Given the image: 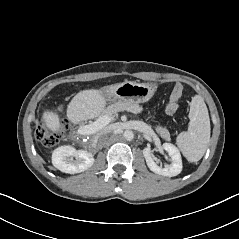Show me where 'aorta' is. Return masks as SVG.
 <instances>
[{"label":"aorta","mask_w":239,"mask_h":239,"mask_svg":"<svg viewBox=\"0 0 239 239\" xmlns=\"http://www.w3.org/2000/svg\"><path fill=\"white\" fill-rule=\"evenodd\" d=\"M123 137L128 140L131 141L134 138V133L131 130H125L123 133Z\"/></svg>","instance_id":"762f6f07"}]
</instances>
